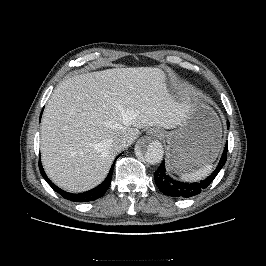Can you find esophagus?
Returning <instances> with one entry per match:
<instances>
[{
  "label": "esophagus",
  "instance_id": "1",
  "mask_svg": "<svg viewBox=\"0 0 266 266\" xmlns=\"http://www.w3.org/2000/svg\"><path fill=\"white\" fill-rule=\"evenodd\" d=\"M153 134H154L156 137H161V136H162L161 132L158 131V130H157V131H154Z\"/></svg>",
  "mask_w": 266,
  "mask_h": 266
}]
</instances>
